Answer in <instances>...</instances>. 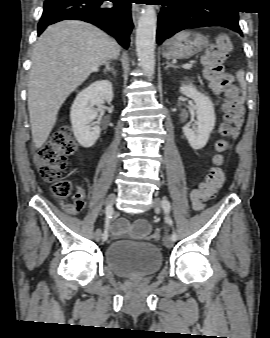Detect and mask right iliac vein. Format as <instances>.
I'll return each mask as SVG.
<instances>
[{"instance_id":"obj_1","label":"right iliac vein","mask_w":270,"mask_h":338,"mask_svg":"<svg viewBox=\"0 0 270 338\" xmlns=\"http://www.w3.org/2000/svg\"><path fill=\"white\" fill-rule=\"evenodd\" d=\"M116 200V195L115 194H110L107 199H106V205L110 206L113 205ZM94 239L99 242L101 240V230L98 228L96 229L94 233Z\"/></svg>"}]
</instances>
